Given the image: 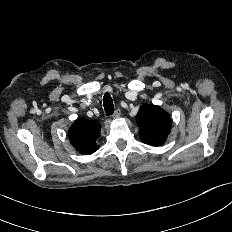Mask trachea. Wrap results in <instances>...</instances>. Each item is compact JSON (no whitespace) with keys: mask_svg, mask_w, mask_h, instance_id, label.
<instances>
[{"mask_svg":"<svg viewBox=\"0 0 232 232\" xmlns=\"http://www.w3.org/2000/svg\"><path fill=\"white\" fill-rule=\"evenodd\" d=\"M103 106L106 112V115H111L114 113V104L109 93H106L103 97Z\"/></svg>","mask_w":232,"mask_h":232,"instance_id":"3493384b","label":"trachea"}]
</instances>
